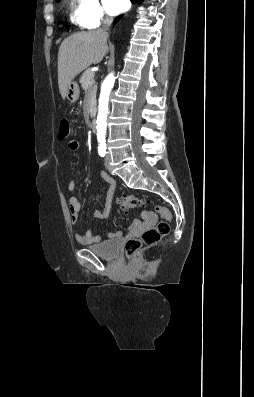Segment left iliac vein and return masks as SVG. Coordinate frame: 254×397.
<instances>
[{"mask_svg":"<svg viewBox=\"0 0 254 397\" xmlns=\"http://www.w3.org/2000/svg\"><path fill=\"white\" fill-rule=\"evenodd\" d=\"M110 161H111V157H110V154L107 152V154H106V157H105V167L108 169V170H111V164H110Z\"/></svg>","mask_w":254,"mask_h":397,"instance_id":"obj_1","label":"left iliac vein"}]
</instances>
